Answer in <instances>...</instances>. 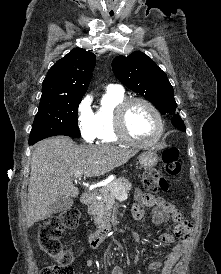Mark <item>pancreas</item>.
Wrapping results in <instances>:
<instances>
[{
  "mask_svg": "<svg viewBox=\"0 0 221 274\" xmlns=\"http://www.w3.org/2000/svg\"><path fill=\"white\" fill-rule=\"evenodd\" d=\"M115 187L119 188L120 192L126 193L131 190L132 184L124 177H120L92 192V203L88 207V214L93 216L94 224L98 227H105L109 224L111 209L115 203ZM96 196L101 199H97Z\"/></svg>",
  "mask_w": 221,
  "mask_h": 274,
  "instance_id": "1",
  "label": "pancreas"
}]
</instances>
